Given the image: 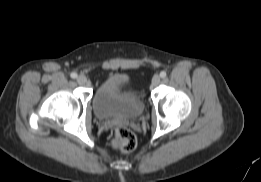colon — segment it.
I'll list each match as a JSON object with an SVG mask.
<instances>
[{
  "mask_svg": "<svg viewBox=\"0 0 261 182\" xmlns=\"http://www.w3.org/2000/svg\"><path fill=\"white\" fill-rule=\"evenodd\" d=\"M111 145L116 150L130 152L135 149L137 145V139L131 130L124 126H118L114 130V136L111 141Z\"/></svg>",
  "mask_w": 261,
  "mask_h": 182,
  "instance_id": "obj_1",
  "label": "colon"
}]
</instances>
